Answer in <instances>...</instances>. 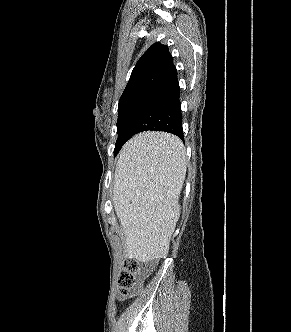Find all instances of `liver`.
<instances>
[{
  "instance_id": "6515ba94",
  "label": "liver",
  "mask_w": 291,
  "mask_h": 332,
  "mask_svg": "<svg viewBox=\"0 0 291 332\" xmlns=\"http://www.w3.org/2000/svg\"><path fill=\"white\" fill-rule=\"evenodd\" d=\"M186 167L185 147L169 133L143 132L122 147L113 204L125 234L127 258L148 262L167 256L180 217L178 199Z\"/></svg>"
}]
</instances>
